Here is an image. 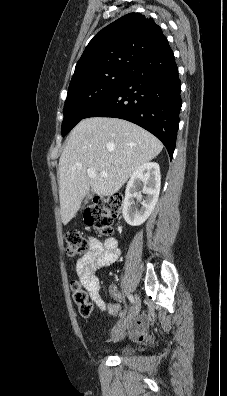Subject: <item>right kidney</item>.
I'll list each match as a JSON object with an SVG mask.
<instances>
[{"label": "right kidney", "mask_w": 227, "mask_h": 396, "mask_svg": "<svg viewBox=\"0 0 227 396\" xmlns=\"http://www.w3.org/2000/svg\"><path fill=\"white\" fill-rule=\"evenodd\" d=\"M160 184L158 163L147 162L133 172L127 183L123 202V217L127 224L139 226L147 220L158 201ZM141 192L146 194V197L140 202L141 207H138L134 199L140 201Z\"/></svg>", "instance_id": "1"}]
</instances>
